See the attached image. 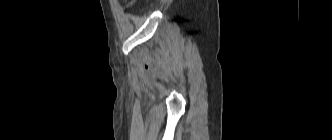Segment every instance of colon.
<instances>
[{"mask_svg":"<svg viewBox=\"0 0 332 140\" xmlns=\"http://www.w3.org/2000/svg\"><path fill=\"white\" fill-rule=\"evenodd\" d=\"M127 2H136V0H125Z\"/></svg>","mask_w":332,"mask_h":140,"instance_id":"5ec220e1","label":"colon"}]
</instances>
